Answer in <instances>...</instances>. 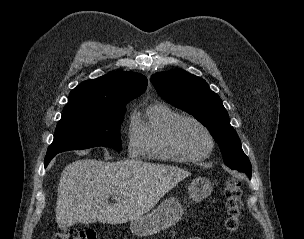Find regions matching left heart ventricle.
Returning <instances> with one entry per match:
<instances>
[{"label": "left heart ventricle", "mask_w": 304, "mask_h": 239, "mask_svg": "<svg viewBox=\"0 0 304 239\" xmlns=\"http://www.w3.org/2000/svg\"><path fill=\"white\" fill-rule=\"evenodd\" d=\"M177 138L180 146L191 154H201L209 146V141L204 131L192 122H185L180 126Z\"/></svg>", "instance_id": "obj_1"}]
</instances>
